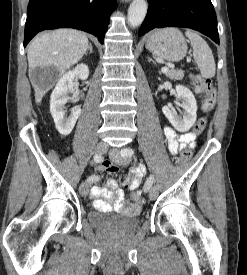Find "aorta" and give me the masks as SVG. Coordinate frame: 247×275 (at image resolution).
I'll list each match as a JSON object with an SVG mask.
<instances>
[{"label": "aorta", "mask_w": 247, "mask_h": 275, "mask_svg": "<svg viewBox=\"0 0 247 275\" xmlns=\"http://www.w3.org/2000/svg\"><path fill=\"white\" fill-rule=\"evenodd\" d=\"M147 8L146 0H133L128 9V23L131 27L136 28L142 24Z\"/></svg>", "instance_id": "obj_1"}]
</instances>
